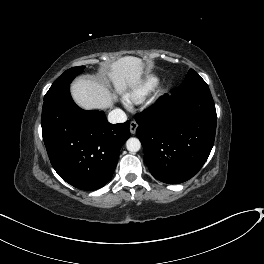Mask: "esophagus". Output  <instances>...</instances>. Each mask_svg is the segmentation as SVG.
<instances>
[{"label":"esophagus","instance_id":"34e87169","mask_svg":"<svg viewBox=\"0 0 264 264\" xmlns=\"http://www.w3.org/2000/svg\"><path fill=\"white\" fill-rule=\"evenodd\" d=\"M138 124L135 121L130 122V133L135 134Z\"/></svg>","mask_w":264,"mask_h":264}]
</instances>
